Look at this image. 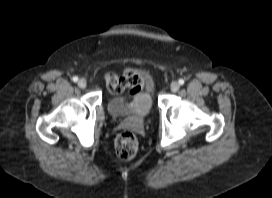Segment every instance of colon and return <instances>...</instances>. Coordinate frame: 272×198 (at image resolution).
Segmentation results:
<instances>
[{"instance_id": "colon-1", "label": "colon", "mask_w": 272, "mask_h": 198, "mask_svg": "<svg viewBox=\"0 0 272 198\" xmlns=\"http://www.w3.org/2000/svg\"><path fill=\"white\" fill-rule=\"evenodd\" d=\"M114 147L121 159L131 160L138 153L139 143L137 137L132 132L125 131L117 135Z\"/></svg>"}]
</instances>
